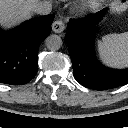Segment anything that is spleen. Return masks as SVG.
Returning a JSON list of instances; mask_svg holds the SVG:
<instances>
[{
	"label": "spleen",
	"instance_id": "obj_1",
	"mask_svg": "<svg viewBox=\"0 0 128 128\" xmlns=\"http://www.w3.org/2000/svg\"><path fill=\"white\" fill-rule=\"evenodd\" d=\"M98 52L107 65L128 66V32L102 37V40L98 41Z\"/></svg>",
	"mask_w": 128,
	"mask_h": 128
}]
</instances>
